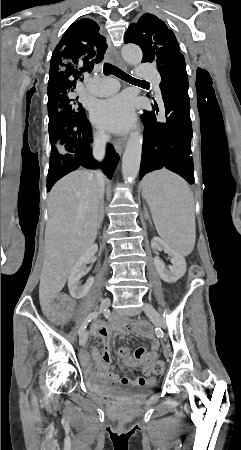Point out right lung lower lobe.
Listing matches in <instances>:
<instances>
[{"instance_id":"1","label":"right lung lower lobe","mask_w":241,"mask_h":450,"mask_svg":"<svg viewBox=\"0 0 241 450\" xmlns=\"http://www.w3.org/2000/svg\"><path fill=\"white\" fill-rule=\"evenodd\" d=\"M61 132L66 135L74 148V153L68 155H58L50 158L49 171L47 176V190L71 171L80 166L89 169L100 167L108 178H112L113 172L119 161V156L112 145H107L106 156L102 163H98L92 156V149L89 147V136L91 135V125L85 118L79 122H73L61 126ZM88 132V133H87Z\"/></svg>"}]
</instances>
